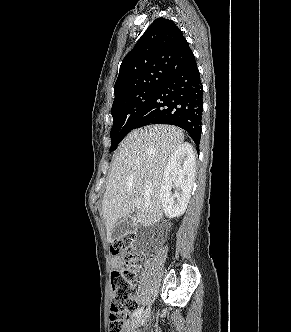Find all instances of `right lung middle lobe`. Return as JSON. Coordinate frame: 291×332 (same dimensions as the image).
I'll return each instance as SVG.
<instances>
[{
  "instance_id": "right-lung-middle-lobe-1",
  "label": "right lung middle lobe",
  "mask_w": 291,
  "mask_h": 332,
  "mask_svg": "<svg viewBox=\"0 0 291 332\" xmlns=\"http://www.w3.org/2000/svg\"><path fill=\"white\" fill-rule=\"evenodd\" d=\"M160 83L161 81L154 82L144 89L131 92L114 101L111 109L114 122L110 151L115 150L122 139L134 129L137 118L156 93Z\"/></svg>"
}]
</instances>
